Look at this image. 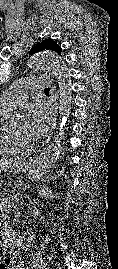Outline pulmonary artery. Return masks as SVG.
Listing matches in <instances>:
<instances>
[{
  "mask_svg": "<svg viewBox=\"0 0 118 269\" xmlns=\"http://www.w3.org/2000/svg\"><path fill=\"white\" fill-rule=\"evenodd\" d=\"M48 85L43 76L24 77L13 83L0 97V108L9 111L21 104L30 90L42 89Z\"/></svg>",
  "mask_w": 118,
  "mask_h": 269,
  "instance_id": "e3ab8cb5",
  "label": "pulmonary artery"
}]
</instances>
